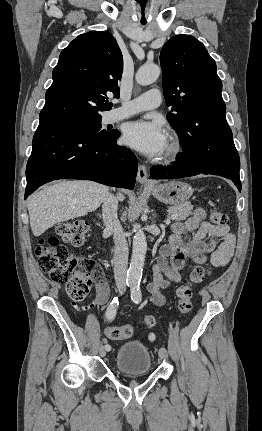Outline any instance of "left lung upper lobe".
<instances>
[{"label": "left lung upper lobe", "instance_id": "5c2ea615", "mask_svg": "<svg viewBox=\"0 0 262 431\" xmlns=\"http://www.w3.org/2000/svg\"><path fill=\"white\" fill-rule=\"evenodd\" d=\"M163 90L171 126L180 136L178 159L208 164L221 153H237L225 118L226 106L215 61L190 35H176L160 52Z\"/></svg>", "mask_w": 262, "mask_h": 431}]
</instances>
